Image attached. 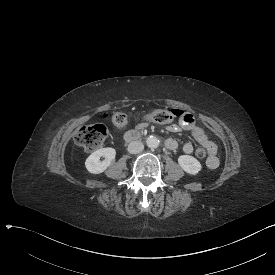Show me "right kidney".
I'll return each mask as SVG.
<instances>
[{"label": "right kidney", "mask_w": 275, "mask_h": 275, "mask_svg": "<svg viewBox=\"0 0 275 275\" xmlns=\"http://www.w3.org/2000/svg\"><path fill=\"white\" fill-rule=\"evenodd\" d=\"M116 151L114 148H101L93 152L85 161V166L90 173L99 174L104 172L115 162ZM104 157L103 161L100 158Z\"/></svg>", "instance_id": "1"}]
</instances>
